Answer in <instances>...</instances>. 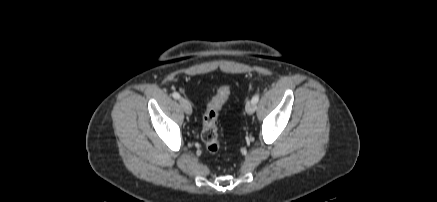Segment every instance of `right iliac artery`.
Returning a JSON list of instances; mask_svg holds the SVG:
<instances>
[{
    "instance_id": "obj_1",
    "label": "right iliac artery",
    "mask_w": 437,
    "mask_h": 202,
    "mask_svg": "<svg viewBox=\"0 0 437 202\" xmlns=\"http://www.w3.org/2000/svg\"><path fill=\"white\" fill-rule=\"evenodd\" d=\"M172 96H173L175 99H179V98H180V95H179V93H177V92H174V93L172 94Z\"/></svg>"
}]
</instances>
